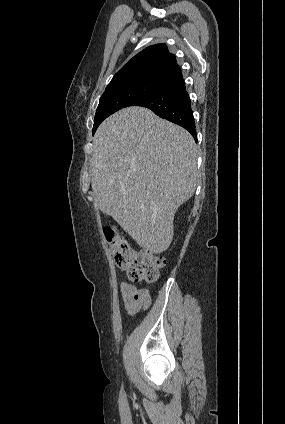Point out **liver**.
<instances>
[{"label":"liver","instance_id":"liver-1","mask_svg":"<svg viewBox=\"0 0 285 424\" xmlns=\"http://www.w3.org/2000/svg\"><path fill=\"white\" fill-rule=\"evenodd\" d=\"M95 204L154 254L171 244L174 215L197 185V149L182 127L144 107L98 127L90 164Z\"/></svg>","mask_w":285,"mask_h":424}]
</instances>
